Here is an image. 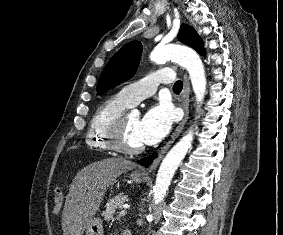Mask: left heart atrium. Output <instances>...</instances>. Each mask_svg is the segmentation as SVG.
Wrapping results in <instances>:
<instances>
[{
	"instance_id": "1",
	"label": "left heart atrium",
	"mask_w": 283,
	"mask_h": 235,
	"mask_svg": "<svg viewBox=\"0 0 283 235\" xmlns=\"http://www.w3.org/2000/svg\"><path fill=\"white\" fill-rule=\"evenodd\" d=\"M173 124V111L167 103L154 105L138 124V135L143 144H155L162 140Z\"/></svg>"
}]
</instances>
